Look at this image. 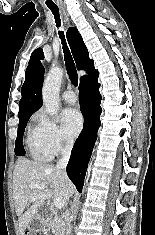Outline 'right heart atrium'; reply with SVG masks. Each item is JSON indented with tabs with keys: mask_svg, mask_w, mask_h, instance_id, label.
Wrapping results in <instances>:
<instances>
[{
	"mask_svg": "<svg viewBox=\"0 0 155 235\" xmlns=\"http://www.w3.org/2000/svg\"><path fill=\"white\" fill-rule=\"evenodd\" d=\"M36 133L41 144L52 155L67 152L71 147V139L64 133L58 123L43 112L36 116Z\"/></svg>",
	"mask_w": 155,
	"mask_h": 235,
	"instance_id": "1",
	"label": "right heart atrium"
}]
</instances>
